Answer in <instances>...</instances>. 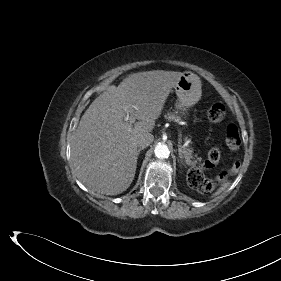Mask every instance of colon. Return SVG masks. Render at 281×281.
Masks as SVG:
<instances>
[{
	"mask_svg": "<svg viewBox=\"0 0 281 281\" xmlns=\"http://www.w3.org/2000/svg\"><path fill=\"white\" fill-rule=\"evenodd\" d=\"M226 114L225 106L221 103H216L212 105L207 111V119L211 123H220L224 120ZM227 146L232 150H237L241 145V138L239 135L238 128L230 124L226 128V138ZM221 158V152L218 147H213L209 150L207 158L201 163L200 167L194 168L190 171L188 180L189 183L197 188L198 190L208 193L214 190L216 185L223 182L231 174L236 173L240 168V161L235 160L232 167L229 170L222 171L216 180L206 179L202 173V169H208L216 166Z\"/></svg>",
	"mask_w": 281,
	"mask_h": 281,
	"instance_id": "obj_1",
	"label": "colon"
}]
</instances>
